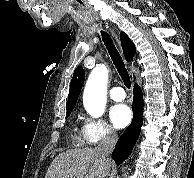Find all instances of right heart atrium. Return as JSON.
<instances>
[{"label":"right heart atrium","mask_w":194,"mask_h":178,"mask_svg":"<svg viewBox=\"0 0 194 178\" xmlns=\"http://www.w3.org/2000/svg\"><path fill=\"white\" fill-rule=\"evenodd\" d=\"M81 129L77 141L83 146H94L102 142L116 140V133L104 120L87 115L81 117Z\"/></svg>","instance_id":"obj_1"}]
</instances>
